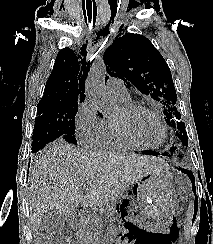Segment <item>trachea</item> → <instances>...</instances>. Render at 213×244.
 I'll use <instances>...</instances> for the list:
<instances>
[{
  "instance_id": "3493384b",
  "label": "trachea",
  "mask_w": 213,
  "mask_h": 244,
  "mask_svg": "<svg viewBox=\"0 0 213 244\" xmlns=\"http://www.w3.org/2000/svg\"><path fill=\"white\" fill-rule=\"evenodd\" d=\"M83 12H84L85 17L87 15L89 24H91V22L93 20V25H94L95 24V21H96V16H97V9H96V7H93V10H92V7L90 9L87 8L86 10L84 8Z\"/></svg>"
}]
</instances>
